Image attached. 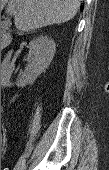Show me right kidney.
Here are the masks:
<instances>
[{
    "label": "right kidney",
    "instance_id": "ca27d5eb",
    "mask_svg": "<svg viewBox=\"0 0 109 170\" xmlns=\"http://www.w3.org/2000/svg\"><path fill=\"white\" fill-rule=\"evenodd\" d=\"M56 45L47 37H37L29 43L30 63L24 73L26 83L37 78L51 63Z\"/></svg>",
    "mask_w": 109,
    "mask_h": 170
}]
</instances>
